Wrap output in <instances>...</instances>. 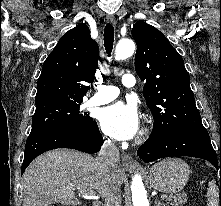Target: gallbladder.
<instances>
[{
	"label": "gallbladder",
	"mask_w": 221,
	"mask_h": 206,
	"mask_svg": "<svg viewBox=\"0 0 221 206\" xmlns=\"http://www.w3.org/2000/svg\"><path fill=\"white\" fill-rule=\"evenodd\" d=\"M69 197L71 202H82V197H74L73 193H70Z\"/></svg>",
	"instance_id": "1"
}]
</instances>
